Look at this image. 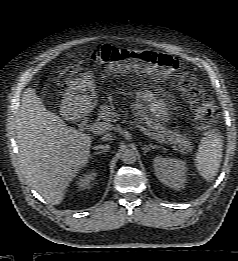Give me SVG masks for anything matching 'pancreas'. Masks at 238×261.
Listing matches in <instances>:
<instances>
[{
	"label": "pancreas",
	"mask_w": 238,
	"mask_h": 261,
	"mask_svg": "<svg viewBox=\"0 0 238 261\" xmlns=\"http://www.w3.org/2000/svg\"><path fill=\"white\" fill-rule=\"evenodd\" d=\"M117 111H122L121 109L116 110V107L112 102L109 104H103L99 109V119L107 122H116L120 118ZM128 113H125L127 116ZM139 123L146 124L147 128L153 131L154 135L162 142L169 143L173 146L174 150L179 151L182 154L191 153L193 151V146L191 141L183 134L177 131H172L165 127L158 120H154L145 113L134 114Z\"/></svg>",
	"instance_id": "pancreas-1"
}]
</instances>
